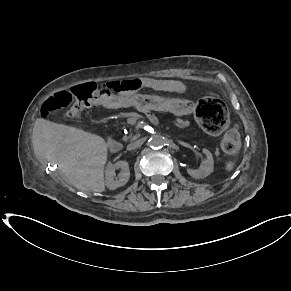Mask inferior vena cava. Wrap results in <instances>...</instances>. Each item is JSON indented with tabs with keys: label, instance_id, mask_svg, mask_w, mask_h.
I'll list each match as a JSON object with an SVG mask.
<instances>
[{
	"label": "inferior vena cava",
	"instance_id": "obj_1",
	"mask_svg": "<svg viewBox=\"0 0 291 291\" xmlns=\"http://www.w3.org/2000/svg\"><path fill=\"white\" fill-rule=\"evenodd\" d=\"M143 144V140H137L135 142H132L130 144L127 145V150H134L137 149L139 147H141V145Z\"/></svg>",
	"mask_w": 291,
	"mask_h": 291
}]
</instances>
